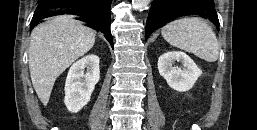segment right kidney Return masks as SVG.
Instances as JSON below:
<instances>
[{
  "mask_svg": "<svg viewBox=\"0 0 257 130\" xmlns=\"http://www.w3.org/2000/svg\"><path fill=\"white\" fill-rule=\"evenodd\" d=\"M85 69L87 72L84 74ZM99 78V57L97 55H87L71 66L64 89V103L70 112H79L90 101Z\"/></svg>",
  "mask_w": 257,
  "mask_h": 130,
  "instance_id": "obj_1",
  "label": "right kidney"
}]
</instances>
